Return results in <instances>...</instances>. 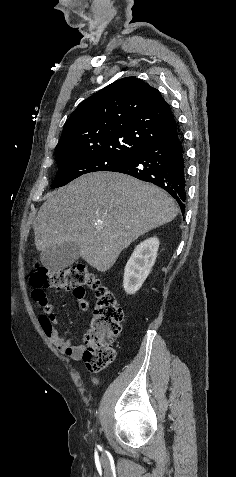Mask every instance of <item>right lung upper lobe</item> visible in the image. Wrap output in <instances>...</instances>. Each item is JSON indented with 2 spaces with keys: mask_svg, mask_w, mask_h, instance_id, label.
I'll list each match as a JSON object with an SVG mask.
<instances>
[{
  "mask_svg": "<svg viewBox=\"0 0 236 477\" xmlns=\"http://www.w3.org/2000/svg\"><path fill=\"white\" fill-rule=\"evenodd\" d=\"M176 130L171 109L159 91L126 77L78 105L64 125L55 158L88 154L130 158Z\"/></svg>",
  "mask_w": 236,
  "mask_h": 477,
  "instance_id": "1",
  "label": "right lung upper lobe"
}]
</instances>
